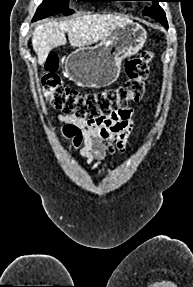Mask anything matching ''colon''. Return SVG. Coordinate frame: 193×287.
Instances as JSON below:
<instances>
[{"label": "colon", "instance_id": "colon-1", "mask_svg": "<svg viewBox=\"0 0 193 287\" xmlns=\"http://www.w3.org/2000/svg\"><path fill=\"white\" fill-rule=\"evenodd\" d=\"M154 52L147 50L126 61L128 80L123 86L99 92L79 93L61 82L57 74L59 59L49 55L41 78V92L53 106L65 113H72L84 120H100L114 111L138 102L144 92L145 80ZM65 132V130H63Z\"/></svg>", "mask_w": 193, "mask_h": 287}]
</instances>
